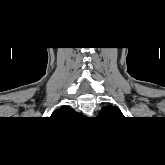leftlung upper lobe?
Returning <instances> with one entry per match:
<instances>
[{
	"instance_id": "left-lung-upper-lobe-1",
	"label": "left lung upper lobe",
	"mask_w": 165,
	"mask_h": 165,
	"mask_svg": "<svg viewBox=\"0 0 165 165\" xmlns=\"http://www.w3.org/2000/svg\"><path fill=\"white\" fill-rule=\"evenodd\" d=\"M113 114L116 116L122 115L121 111L117 107H103L102 110L100 111V114ZM123 116V115H122Z\"/></svg>"
}]
</instances>
